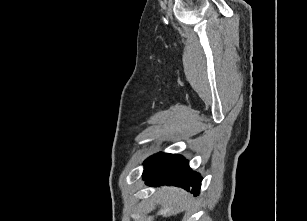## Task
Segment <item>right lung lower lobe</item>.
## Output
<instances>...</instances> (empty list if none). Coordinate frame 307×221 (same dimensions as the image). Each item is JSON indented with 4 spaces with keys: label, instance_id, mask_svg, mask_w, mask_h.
Here are the masks:
<instances>
[{
    "label": "right lung lower lobe",
    "instance_id": "obj_1",
    "mask_svg": "<svg viewBox=\"0 0 307 221\" xmlns=\"http://www.w3.org/2000/svg\"><path fill=\"white\" fill-rule=\"evenodd\" d=\"M144 179L151 185L179 186L199 194L202 178L193 172L180 155L158 153L144 162Z\"/></svg>",
    "mask_w": 307,
    "mask_h": 221
}]
</instances>
